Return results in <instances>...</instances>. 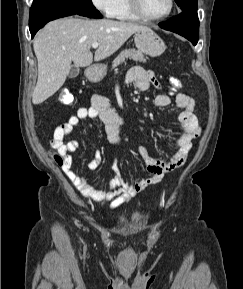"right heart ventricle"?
Wrapping results in <instances>:
<instances>
[{
	"instance_id": "e07e8e85",
	"label": "right heart ventricle",
	"mask_w": 243,
	"mask_h": 289,
	"mask_svg": "<svg viewBox=\"0 0 243 289\" xmlns=\"http://www.w3.org/2000/svg\"><path fill=\"white\" fill-rule=\"evenodd\" d=\"M109 16L121 21L140 20L131 10L129 0H116L115 6Z\"/></svg>"
}]
</instances>
